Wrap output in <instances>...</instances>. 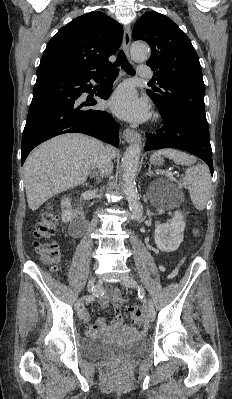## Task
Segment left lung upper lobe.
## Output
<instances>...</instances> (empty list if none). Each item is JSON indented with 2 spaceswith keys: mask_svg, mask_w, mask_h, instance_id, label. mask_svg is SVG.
Listing matches in <instances>:
<instances>
[{
  "mask_svg": "<svg viewBox=\"0 0 232 399\" xmlns=\"http://www.w3.org/2000/svg\"><path fill=\"white\" fill-rule=\"evenodd\" d=\"M132 38L146 41L152 50L147 65L155 71L147 93L167 116H178L209 132L205 115V85L198 55L188 37L167 16L147 12L136 22Z\"/></svg>",
  "mask_w": 232,
  "mask_h": 399,
  "instance_id": "left-lung-upper-lobe-1",
  "label": "left lung upper lobe"
}]
</instances>
